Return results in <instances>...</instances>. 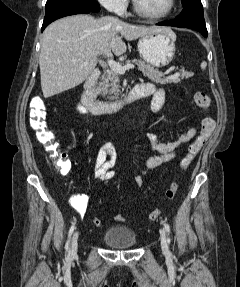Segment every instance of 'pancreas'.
I'll return each instance as SVG.
<instances>
[{
    "instance_id": "obj_1",
    "label": "pancreas",
    "mask_w": 240,
    "mask_h": 287,
    "mask_svg": "<svg viewBox=\"0 0 240 287\" xmlns=\"http://www.w3.org/2000/svg\"><path fill=\"white\" fill-rule=\"evenodd\" d=\"M134 63L138 66L139 71L143 73L144 76L148 77L152 82L159 83L161 85H165L167 83H178L181 81V79L189 78L193 75L190 71H183L180 75V77L171 80V79H165L163 78L164 74L160 72L158 69L150 66L149 64H146L141 59H132L127 60L126 64ZM119 73L116 71H113L112 69L106 70L104 74L101 77V81L98 83L96 90L97 92L105 96L107 94H110L111 96H108L110 100H116L118 98L119 94Z\"/></svg>"
}]
</instances>
